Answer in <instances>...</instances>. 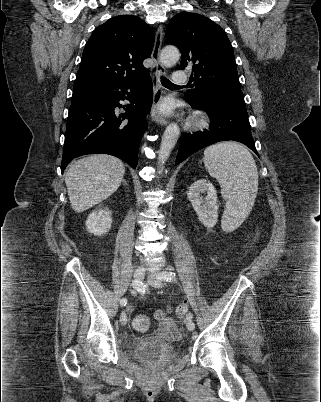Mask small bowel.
Segmentation results:
<instances>
[{
    "label": "small bowel",
    "mask_w": 321,
    "mask_h": 402,
    "mask_svg": "<svg viewBox=\"0 0 321 402\" xmlns=\"http://www.w3.org/2000/svg\"><path fill=\"white\" fill-rule=\"evenodd\" d=\"M155 318L159 323L160 335L169 340H175L179 336V330L172 318L166 316L165 312L158 310Z\"/></svg>",
    "instance_id": "c3829d8e"
}]
</instances>
